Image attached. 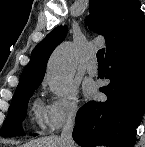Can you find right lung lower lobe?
I'll return each instance as SVG.
<instances>
[{"mask_svg":"<svg viewBox=\"0 0 145 147\" xmlns=\"http://www.w3.org/2000/svg\"><path fill=\"white\" fill-rule=\"evenodd\" d=\"M105 102L91 101L77 113L74 141L82 147H132L136 126L145 112V24L105 58Z\"/></svg>","mask_w":145,"mask_h":147,"instance_id":"98d812e1","label":"right lung lower lobe"}]
</instances>
